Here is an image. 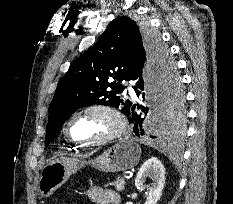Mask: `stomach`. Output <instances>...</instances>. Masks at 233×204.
<instances>
[{
  "instance_id": "obj_1",
  "label": "stomach",
  "mask_w": 233,
  "mask_h": 204,
  "mask_svg": "<svg viewBox=\"0 0 233 204\" xmlns=\"http://www.w3.org/2000/svg\"><path fill=\"white\" fill-rule=\"evenodd\" d=\"M140 157L139 145L131 140H122L89 162L70 158L54 159L41 170L38 193L41 197H49L72 174L88 163L99 171L115 173L134 168Z\"/></svg>"
}]
</instances>
